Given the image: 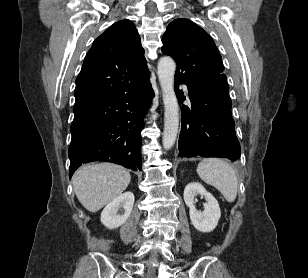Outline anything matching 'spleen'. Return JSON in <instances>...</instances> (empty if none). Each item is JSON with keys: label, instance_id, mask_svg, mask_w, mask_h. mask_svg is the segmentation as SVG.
Returning <instances> with one entry per match:
<instances>
[{"label": "spleen", "instance_id": "3e777b00", "mask_svg": "<svg viewBox=\"0 0 308 278\" xmlns=\"http://www.w3.org/2000/svg\"><path fill=\"white\" fill-rule=\"evenodd\" d=\"M199 177L207 184L215 187L232 203L237 197L238 179L233 167L220 158H205L197 167Z\"/></svg>", "mask_w": 308, "mask_h": 278}]
</instances>
